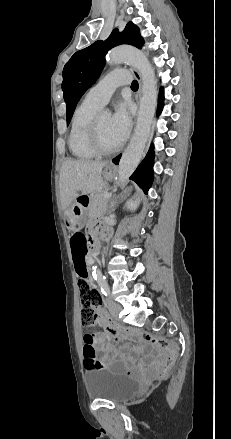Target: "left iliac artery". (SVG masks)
Returning <instances> with one entry per match:
<instances>
[{"label":"left iliac artery","mask_w":231,"mask_h":439,"mask_svg":"<svg viewBox=\"0 0 231 439\" xmlns=\"http://www.w3.org/2000/svg\"><path fill=\"white\" fill-rule=\"evenodd\" d=\"M98 284L101 288L102 294H104L105 296L109 295L110 291H109L108 284L105 280V277L98 278Z\"/></svg>","instance_id":"44dca946"}]
</instances>
